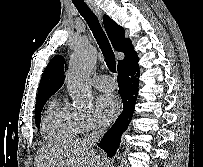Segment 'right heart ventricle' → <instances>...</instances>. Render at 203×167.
I'll return each instance as SVG.
<instances>
[{
	"label": "right heart ventricle",
	"instance_id": "right-heart-ventricle-1",
	"mask_svg": "<svg viewBox=\"0 0 203 167\" xmlns=\"http://www.w3.org/2000/svg\"><path fill=\"white\" fill-rule=\"evenodd\" d=\"M42 131L50 142L64 143L73 140L78 134L74 111L59 100L51 101L43 117Z\"/></svg>",
	"mask_w": 203,
	"mask_h": 167
}]
</instances>
